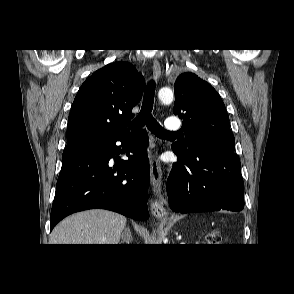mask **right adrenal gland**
<instances>
[{"instance_id": "1", "label": "right adrenal gland", "mask_w": 294, "mask_h": 294, "mask_svg": "<svg viewBox=\"0 0 294 294\" xmlns=\"http://www.w3.org/2000/svg\"><path fill=\"white\" fill-rule=\"evenodd\" d=\"M122 241L120 244H130L132 241V235L129 227H126L124 232L122 233Z\"/></svg>"}]
</instances>
